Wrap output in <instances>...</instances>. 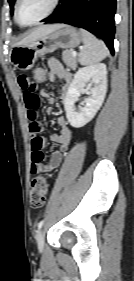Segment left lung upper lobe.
I'll use <instances>...</instances> for the list:
<instances>
[{"label": "left lung upper lobe", "instance_id": "obj_1", "mask_svg": "<svg viewBox=\"0 0 134 281\" xmlns=\"http://www.w3.org/2000/svg\"><path fill=\"white\" fill-rule=\"evenodd\" d=\"M16 0H8L9 4H10V7H11V12H13V6H14V2Z\"/></svg>", "mask_w": 134, "mask_h": 281}]
</instances>
